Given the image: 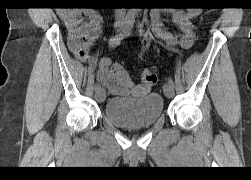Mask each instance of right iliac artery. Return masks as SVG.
Wrapping results in <instances>:
<instances>
[{
    "mask_svg": "<svg viewBox=\"0 0 251 180\" xmlns=\"http://www.w3.org/2000/svg\"><path fill=\"white\" fill-rule=\"evenodd\" d=\"M134 22H135V13L134 12H129L126 16V19L124 21V27L122 29V31L118 34H116L115 36H113L112 38H110L109 40V46L111 48H115L117 47L121 40L124 39V37H126L127 35L130 34L133 26H134ZM100 88V85L97 83L94 86V89L97 90Z\"/></svg>",
    "mask_w": 251,
    "mask_h": 180,
    "instance_id": "1",
    "label": "right iliac artery"
}]
</instances>
